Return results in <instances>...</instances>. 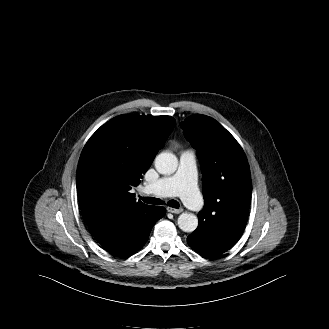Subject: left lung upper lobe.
<instances>
[{
  "label": "left lung upper lobe",
  "instance_id": "left-lung-upper-lobe-1",
  "mask_svg": "<svg viewBox=\"0 0 329 329\" xmlns=\"http://www.w3.org/2000/svg\"><path fill=\"white\" fill-rule=\"evenodd\" d=\"M180 126L202 166L205 206L198 214L199 225L212 229L246 221L252 185L241 146L221 124L205 115H192Z\"/></svg>",
  "mask_w": 329,
  "mask_h": 329
}]
</instances>
